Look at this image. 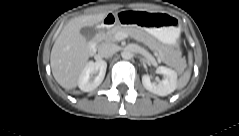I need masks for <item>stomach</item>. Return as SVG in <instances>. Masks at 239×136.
<instances>
[{
  "mask_svg": "<svg viewBox=\"0 0 239 136\" xmlns=\"http://www.w3.org/2000/svg\"><path fill=\"white\" fill-rule=\"evenodd\" d=\"M117 22L124 26L143 27L147 34L169 46H175L180 37L177 19L165 13L119 11Z\"/></svg>",
  "mask_w": 239,
  "mask_h": 136,
  "instance_id": "0dacf381",
  "label": "stomach"
}]
</instances>
